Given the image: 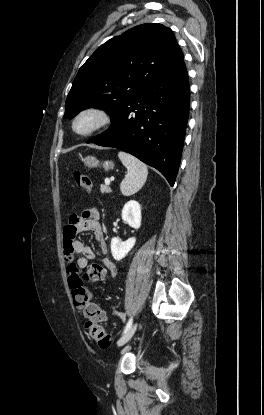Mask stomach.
I'll return each mask as SVG.
<instances>
[{
	"label": "stomach",
	"instance_id": "0dacf381",
	"mask_svg": "<svg viewBox=\"0 0 264 415\" xmlns=\"http://www.w3.org/2000/svg\"><path fill=\"white\" fill-rule=\"evenodd\" d=\"M84 164L90 168L94 167H103L104 170H110L114 168V163L112 161L100 162L93 156H88L82 159Z\"/></svg>",
	"mask_w": 264,
	"mask_h": 415
}]
</instances>
